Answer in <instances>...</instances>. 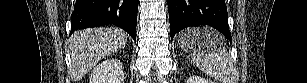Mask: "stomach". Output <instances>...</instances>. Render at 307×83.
<instances>
[{
    "label": "stomach",
    "mask_w": 307,
    "mask_h": 83,
    "mask_svg": "<svg viewBox=\"0 0 307 83\" xmlns=\"http://www.w3.org/2000/svg\"><path fill=\"white\" fill-rule=\"evenodd\" d=\"M178 41L185 51H192L195 47H197V37L195 29H187L182 31L178 36Z\"/></svg>",
    "instance_id": "0dacf381"
}]
</instances>
